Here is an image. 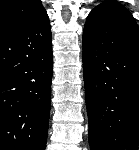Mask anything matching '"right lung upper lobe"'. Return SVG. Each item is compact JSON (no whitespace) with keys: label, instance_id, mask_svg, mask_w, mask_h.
<instances>
[{"label":"right lung upper lobe","instance_id":"obj_1","mask_svg":"<svg viewBox=\"0 0 139 150\" xmlns=\"http://www.w3.org/2000/svg\"><path fill=\"white\" fill-rule=\"evenodd\" d=\"M43 11L41 0H0V36L28 24Z\"/></svg>","mask_w":139,"mask_h":150}]
</instances>
